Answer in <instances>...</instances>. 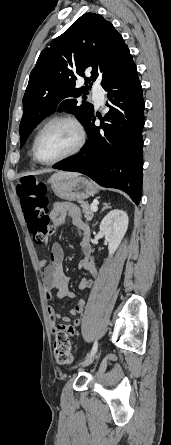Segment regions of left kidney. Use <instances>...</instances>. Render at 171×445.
<instances>
[{"label": "left kidney", "mask_w": 171, "mask_h": 445, "mask_svg": "<svg viewBox=\"0 0 171 445\" xmlns=\"http://www.w3.org/2000/svg\"><path fill=\"white\" fill-rule=\"evenodd\" d=\"M128 215L125 211L115 209L110 211L101 221L100 232L108 242L109 255L111 256L119 247L128 228Z\"/></svg>", "instance_id": "obj_1"}]
</instances>
